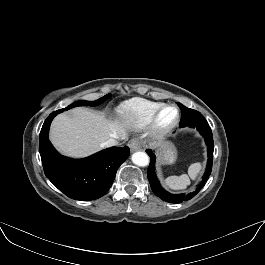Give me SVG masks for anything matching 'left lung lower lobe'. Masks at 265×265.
I'll return each instance as SVG.
<instances>
[{
	"mask_svg": "<svg viewBox=\"0 0 265 265\" xmlns=\"http://www.w3.org/2000/svg\"><path fill=\"white\" fill-rule=\"evenodd\" d=\"M183 127L196 128L200 132V134L205 138V143L207 146L208 160H207L206 171L202 177V180L199 182V184L196 186V188L193 191L189 193H181V194H173V193L166 191L161 186L157 178V175H156L155 154L150 149L146 150V152L151 158V162H150V165L147 171V177H148L151 189L156 196H158L163 201H166L169 203H182L184 201H188L192 199L203 188V186L205 185L212 171L214 144H213L212 131H211V128L208 122L206 121L205 118H201Z\"/></svg>",
	"mask_w": 265,
	"mask_h": 265,
	"instance_id": "0a47b994",
	"label": "left lung lower lobe"
}]
</instances>
